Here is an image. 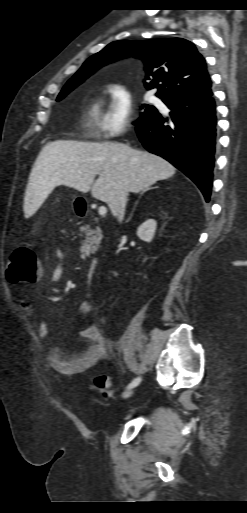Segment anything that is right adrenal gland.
Masks as SVG:
<instances>
[{
	"label": "right adrenal gland",
	"mask_w": 247,
	"mask_h": 513,
	"mask_svg": "<svg viewBox=\"0 0 247 513\" xmlns=\"http://www.w3.org/2000/svg\"><path fill=\"white\" fill-rule=\"evenodd\" d=\"M148 190H150V189L143 190V191L140 193V197H141L145 192H147ZM140 197H139V198H140ZM137 204H138V200H137V202L135 203V206H134V209H133V210H135V207L137 206Z\"/></svg>",
	"instance_id": "obj_1"
}]
</instances>
